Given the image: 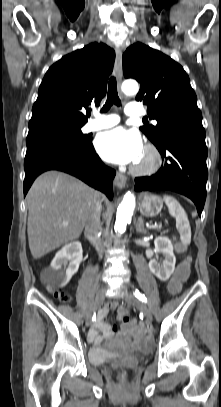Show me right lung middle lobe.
I'll list each match as a JSON object with an SVG mask.
<instances>
[{
    "label": "right lung middle lobe",
    "mask_w": 221,
    "mask_h": 407,
    "mask_svg": "<svg viewBox=\"0 0 221 407\" xmlns=\"http://www.w3.org/2000/svg\"><path fill=\"white\" fill-rule=\"evenodd\" d=\"M83 125L55 123L29 128L26 141L39 137H57L67 139L80 147H86L90 145V138L80 130Z\"/></svg>",
    "instance_id": "dd1d6c3e"
}]
</instances>
